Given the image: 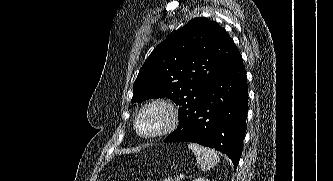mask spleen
Returning a JSON list of instances; mask_svg holds the SVG:
<instances>
[{
    "mask_svg": "<svg viewBox=\"0 0 333 181\" xmlns=\"http://www.w3.org/2000/svg\"><path fill=\"white\" fill-rule=\"evenodd\" d=\"M188 147L193 151L202 171H207L213 168L220 160L218 154L214 150L194 143H189Z\"/></svg>",
    "mask_w": 333,
    "mask_h": 181,
    "instance_id": "obj_1",
    "label": "spleen"
}]
</instances>
